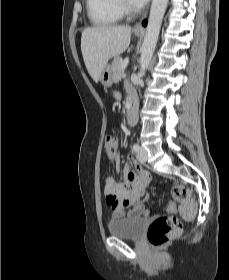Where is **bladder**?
I'll list each match as a JSON object with an SVG mask.
<instances>
[{"label": "bladder", "instance_id": "bladder-1", "mask_svg": "<svg viewBox=\"0 0 229 280\" xmlns=\"http://www.w3.org/2000/svg\"><path fill=\"white\" fill-rule=\"evenodd\" d=\"M145 223L146 219L143 217L122 218L112 220L108 225V230L113 237L138 239L144 232Z\"/></svg>", "mask_w": 229, "mask_h": 280}]
</instances>
